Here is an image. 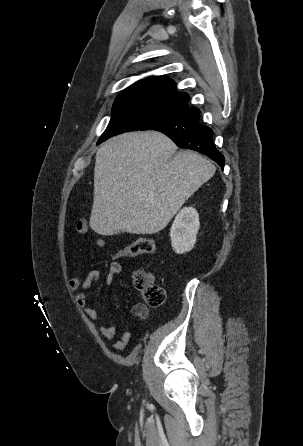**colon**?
Returning <instances> with one entry per match:
<instances>
[{
  "instance_id": "colon-1",
  "label": "colon",
  "mask_w": 303,
  "mask_h": 446,
  "mask_svg": "<svg viewBox=\"0 0 303 446\" xmlns=\"http://www.w3.org/2000/svg\"><path fill=\"white\" fill-rule=\"evenodd\" d=\"M156 251L154 240L149 238H140L130 243L115 254L116 259L132 258L141 254H151ZM134 284L142 292L144 301L149 306H158L164 300V290L159 285L152 283L150 278L141 272L134 275Z\"/></svg>"
}]
</instances>
